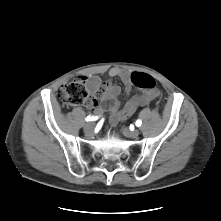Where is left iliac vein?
Returning <instances> with one entry per match:
<instances>
[{"label": "left iliac vein", "mask_w": 221, "mask_h": 221, "mask_svg": "<svg viewBox=\"0 0 221 221\" xmlns=\"http://www.w3.org/2000/svg\"><path fill=\"white\" fill-rule=\"evenodd\" d=\"M123 133L127 137L136 138L139 135V130H129L128 128H123Z\"/></svg>", "instance_id": "left-iliac-vein-1"}]
</instances>
